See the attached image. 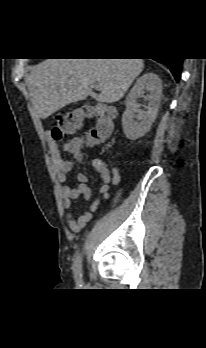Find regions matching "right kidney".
I'll return each mask as SVG.
<instances>
[{"instance_id": "ca27d5eb", "label": "right kidney", "mask_w": 206, "mask_h": 348, "mask_svg": "<svg viewBox=\"0 0 206 348\" xmlns=\"http://www.w3.org/2000/svg\"><path fill=\"white\" fill-rule=\"evenodd\" d=\"M147 95H144L145 93ZM162 96V81L155 73H146L139 77L128 93L122 115V127L125 136L130 140L143 137L151 128L157 117ZM147 101L146 111L139 110L138 99ZM136 118V120H134Z\"/></svg>"}]
</instances>
